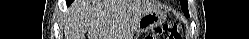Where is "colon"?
Returning <instances> with one entry per match:
<instances>
[{
    "mask_svg": "<svg viewBox=\"0 0 249 39\" xmlns=\"http://www.w3.org/2000/svg\"><path fill=\"white\" fill-rule=\"evenodd\" d=\"M180 23H166L155 28L154 32L145 39H182Z\"/></svg>",
    "mask_w": 249,
    "mask_h": 39,
    "instance_id": "obj_1",
    "label": "colon"
}]
</instances>
